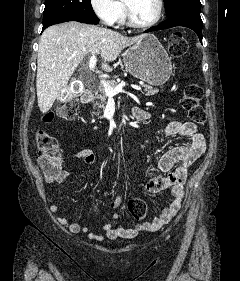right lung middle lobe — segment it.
Here are the masks:
<instances>
[{"label": "right lung middle lobe", "instance_id": "right-lung-middle-lobe-1", "mask_svg": "<svg viewBox=\"0 0 240 281\" xmlns=\"http://www.w3.org/2000/svg\"><path fill=\"white\" fill-rule=\"evenodd\" d=\"M97 19L90 0H45L43 26L59 19Z\"/></svg>", "mask_w": 240, "mask_h": 281}]
</instances>
